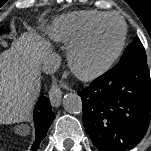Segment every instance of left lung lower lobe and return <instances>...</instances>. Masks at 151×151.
<instances>
[{
    "instance_id": "0a47b994",
    "label": "left lung lower lobe",
    "mask_w": 151,
    "mask_h": 151,
    "mask_svg": "<svg viewBox=\"0 0 151 151\" xmlns=\"http://www.w3.org/2000/svg\"><path fill=\"white\" fill-rule=\"evenodd\" d=\"M78 95L83 102L84 126L100 151H125L142 140L151 110L147 61L117 65Z\"/></svg>"
}]
</instances>
